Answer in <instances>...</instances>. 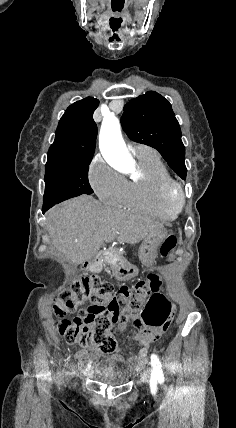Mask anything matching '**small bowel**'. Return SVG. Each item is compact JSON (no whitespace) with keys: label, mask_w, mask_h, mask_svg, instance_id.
Returning <instances> with one entry per match:
<instances>
[{"label":"small bowel","mask_w":236,"mask_h":428,"mask_svg":"<svg viewBox=\"0 0 236 428\" xmlns=\"http://www.w3.org/2000/svg\"><path fill=\"white\" fill-rule=\"evenodd\" d=\"M120 328H126V324H121ZM138 329V328H137ZM162 331L157 329H138L132 332L131 340L142 345V347L131 357L132 360H143L147 354V345L156 340ZM76 358L80 368L88 374L95 373L99 368L114 361H124L125 358L121 354H115L107 358H103L101 352L88 353L85 350H80L76 353Z\"/></svg>","instance_id":"small-bowel-1"}]
</instances>
